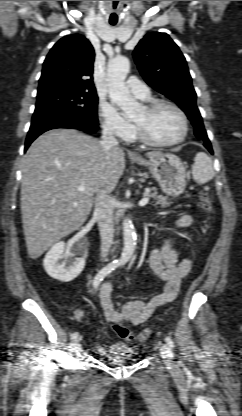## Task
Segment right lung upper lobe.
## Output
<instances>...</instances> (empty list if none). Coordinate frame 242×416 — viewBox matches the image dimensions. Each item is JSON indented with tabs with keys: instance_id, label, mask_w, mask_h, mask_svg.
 Here are the masks:
<instances>
[{
	"instance_id": "1",
	"label": "right lung upper lobe",
	"mask_w": 242,
	"mask_h": 416,
	"mask_svg": "<svg viewBox=\"0 0 242 416\" xmlns=\"http://www.w3.org/2000/svg\"><path fill=\"white\" fill-rule=\"evenodd\" d=\"M94 58V49L84 36L74 34L61 38L43 63L38 95L59 89L96 92L92 77Z\"/></svg>"
}]
</instances>
